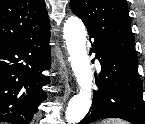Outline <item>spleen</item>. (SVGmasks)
I'll return each instance as SVG.
<instances>
[{
    "label": "spleen",
    "instance_id": "obj_1",
    "mask_svg": "<svg viewBox=\"0 0 145 124\" xmlns=\"http://www.w3.org/2000/svg\"><path fill=\"white\" fill-rule=\"evenodd\" d=\"M103 124H127L125 121H122L120 119H109Z\"/></svg>",
    "mask_w": 145,
    "mask_h": 124
}]
</instances>
